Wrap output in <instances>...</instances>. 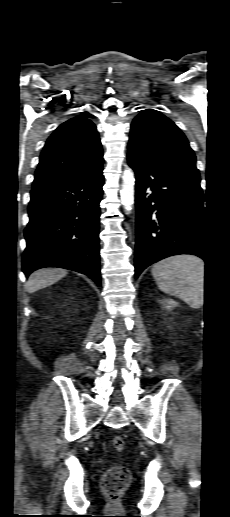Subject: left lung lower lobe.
Returning a JSON list of instances; mask_svg holds the SVG:
<instances>
[{"label": "left lung lower lobe", "instance_id": "obj_1", "mask_svg": "<svg viewBox=\"0 0 230 517\" xmlns=\"http://www.w3.org/2000/svg\"><path fill=\"white\" fill-rule=\"evenodd\" d=\"M135 171V278L172 255L194 254L207 261L200 176L167 169L128 153Z\"/></svg>", "mask_w": 230, "mask_h": 517}]
</instances>
